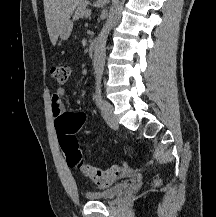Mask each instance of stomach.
I'll use <instances>...</instances> for the list:
<instances>
[{
    "mask_svg": "<svg viewBox=\"0 0 216 217\" xmlns=\"http://www.w3.org/2000/svg\"><path fill=\"white\" fill-rule=\"evenodd\" d=\"M72 28H73V23L72 21H68L67 23H65L64 27L62 28V30L60 31V38L62 40H67L72 32Z\"/></svg>",
    "mask_w": 216,
    "mask_h": 217,
    "instance_id": "obj_1",
    "label": "stomach"
}]
</instances>
